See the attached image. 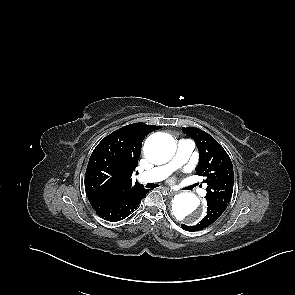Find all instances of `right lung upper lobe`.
<instances>
[{
  "instance_id": "cb5924a9",
  "label": "right lung upper lobe",
  "mask_w": 295,
  "mask_h": 295,
  "mask_svg": "<svg viewBox=\"0 0 295 295\" xmlns=\"http://www.w3.org/2000/svg\"><path fill=\"white\" fill-rule=\"evenodd\" d=\"M161 126L133 123L106 136L94 149L88 164L101 163L112 171V178L103 190L87 194L88 197H121L133 191L144 189L139 183L132 185V173L138 165L141 145L145 136Z\"/></svg>"
}]
</instances>
